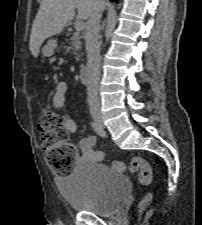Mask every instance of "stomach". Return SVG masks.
<instances>
[{
	"label": "stomach",
	"instance_id": "stomach-1",
	"mask_svg": "<svg viewBox=\"0 0 202 225\" xmlns=\"http://www.w3.org/2000/svg\"><path fill=\"white\" fill-rule=\"evenodd\" d=\"M56 47V42L53 40H50L47 42V44L42 48V53L45 57H50L54 53V49Z\"/></svg>",
	"mask_w": 202,
	"mask_h": 225
}]
</instances>
